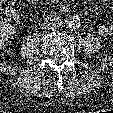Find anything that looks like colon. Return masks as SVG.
I'll list each match as a JSON object with an SVG mask.
<instances>
[{"label":"colon","mask_w":113,"mask_h":113,"mask_svg":"<svg viewBox=\"0 0 113 113\" xmlns=\"http://www.w3.org/2000/svg\"><path fill=\"white\" fill-rule=\"evenodd\" d=\"M4 1L11 2L10 0H0V29L6 24V11L5 9L7 8V3ZM28 1H36V0H28Z\"/></svg>","instance_id":"obj_1"}]
</instances>
